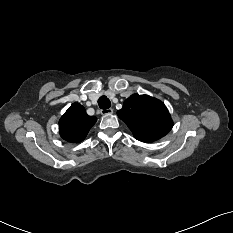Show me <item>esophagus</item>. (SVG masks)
Returning <instances> with one entry per match:
<instances>
[{"instance_id": "34e87169", "label": "esophagus", "mask_w": 233, "mask_h": 233, "mask_svg": "<svg viewBox=\"0 0 233 233\" xmlns=\"http://www.w3.org/2000/svg\"><path fill=\"white\" fill-rule=\"evenodd\" d=\"M100 112L102 115H109L113 113V109L112 108L102 109Z\"/></svg>"}]
</instances>
